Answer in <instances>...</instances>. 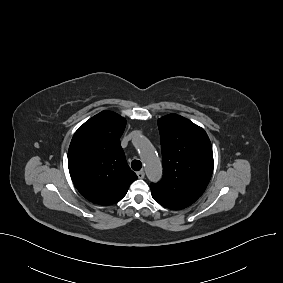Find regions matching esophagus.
<instances>
[{
    "label": "esophagus",
    "instance_id": "obj_1",
    "mask_svg": "<svg viewBox=\"0 0 283 283\" xmlns=\"http://www.w3.org/2000/svg\"><path fill=\"white\" fill-rule=\"evenodd\" d=\"M137 176H138V178L143 179V178L145 177L144 171H143V170L138 171V172H137Z\"/></svg>",
    "mask_w": 283,
    "mask_h": 283
}]
</instances>
